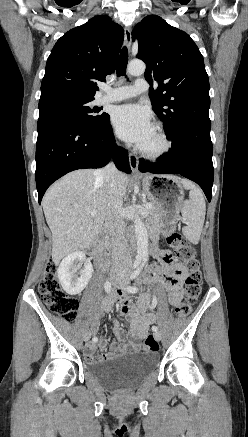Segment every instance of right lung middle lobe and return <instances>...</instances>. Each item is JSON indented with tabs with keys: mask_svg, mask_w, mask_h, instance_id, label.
I'll list each match as a JSON object with an SVG mask.
<instances>
[{
	"mask_svg": "<svg viewBox=\"0 0 248 437\" xmlns=\"http://www.w3.org/2000/svg\"><path fill=\"white\" fill-rule=\"evenodd\" d=\"M93 99L76 95L54 92L40 97L39 116L45 114H58L69 117L85 126H99L110 120L107 113L98 114L102 108H90Z\"/></svg>",
	"mask_w": 248,
	"mask_h": 437,
	"instance_id": "1",
	"label": "right lung middle lobe"
}]
</instances>
